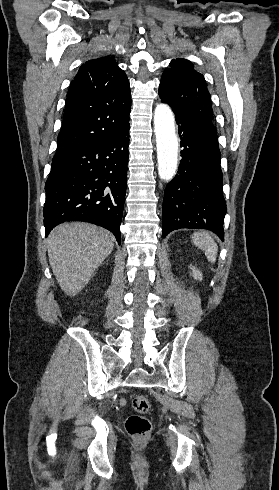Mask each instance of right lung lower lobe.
Masks as SVG:
<instances>
[{"instance_id": "obj_1", "label": "right lung lower lobe", "mask_w": 279, "mask_h": 490, "mask_svg": "<svg viewBox=\"0 0 279 490\" xmlns=\"http://www.w3.org/2000/svg\"><path fill=\"white\" fill-rule=\"evenodd\" d=\"M129 126L91 146L52 160L43 215L46 236L65 221H85L121 241Z\"/></svg>"}]
</instances>
